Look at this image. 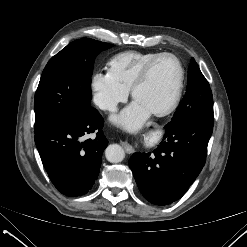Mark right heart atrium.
I'll return each mask as SVG.
<instances>
[{
  "label": "right heart atrium",
  "mask_w": 247,
  "mask_h": 247,
  "mask_svg": "<svg viewBox=\"0 0 247 247\" xmlns=\"http://www.w3.org/2000/svg\"><path fill=\"white\" fill-rule=\"evenodd\" d=\"M94 104L101 110L113 112L128 97V90L120 85L109 71H96L90 78Z\"/></svg>",
  "instance_id": "obj_1"
}]
</instances>
